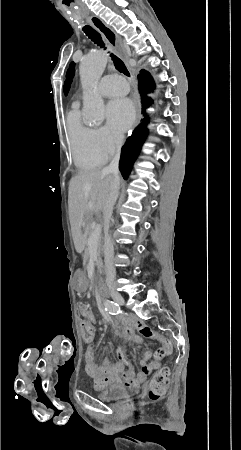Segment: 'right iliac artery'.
<instances>
[{
  "label": "right iliac artery",
  "instance_id": "right-iliac-artery-1",
  "mask_svg": "<svg viewBox=\"0 0 241 450\" xmlns=\"http://www.w3.org/2000/svg\"><path fill=\"white\" fill-rule=\"evenodd\" d=\"M104 305L105 311H108L110 314L117 315L120 313V307L117 303L110 300H106Z\"/></svg>",
  "mask_w": 241,
  "mask_h": 450
}]
</instances>
